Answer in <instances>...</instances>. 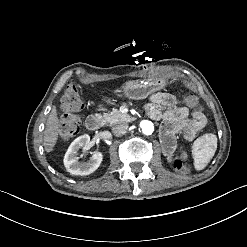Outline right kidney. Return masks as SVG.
Here are the masks:
<instances>
[{"label": "right kidney", "instance_id": "right-kidney-1", "mask_svg": "<svg viewBox=\"0 0 247 247\" xmlns=\"http://www.w3.org/2000/svg\"><path fill=\"white\" fill-rule=\"evenodd\" d=\"M90 142L88 134L76 138L69 146L64 156L66 170L73 175H89L93 173L101 164L103 156L100 152H95L87 162H79L78 151L82 147H87Z\"/></svg>", "mask_w": 247, "mask_h": 247}]
</instances>
